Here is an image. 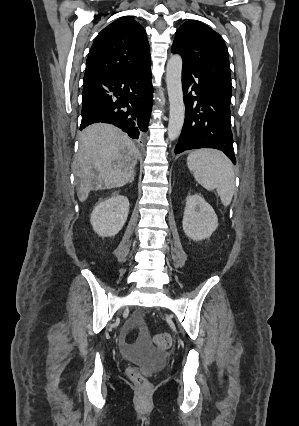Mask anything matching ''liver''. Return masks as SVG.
I'll return each instance as SVG.
<instances>
[{
    "mask_svg": "<svg viewBox=\"0 0 299 426\" xmlns=\"http://www.w3.org/2000/svg\"><path fill=\"white\" fill-rule=\"evenodd\" d=\"M138 155L134 143L117 127L105 123L86 127L75 159L79 200L84 202L91 190L122 187L131 181Z\"/></svg>",
    "mask_w": 299,
    "mask_h": 426,
    "instance_id": "6515ba94",
    "label": "liver"
}]
</instances>
